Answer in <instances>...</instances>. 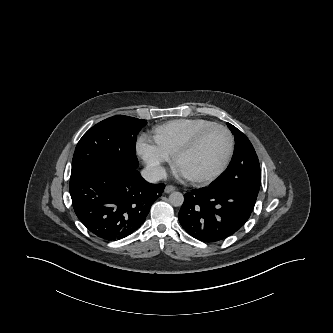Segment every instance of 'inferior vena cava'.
<instances>
[{
  "instance_id": "602c4592",
  "label": "inferior vena cava",
  "mask_w": 333,
  "mask_h": 333,
  "mask_svg": "<svg viewBox=\"0 0 333 333\" xmlns=\"http://www.w3.org/2000/svg\"><path fill=\"white\" fill-rule=\"evenodd\" d=\"M141 175L146 181L156 183L166 177V172L161 166H146Z\"/></svg>"
}]
</instances>
